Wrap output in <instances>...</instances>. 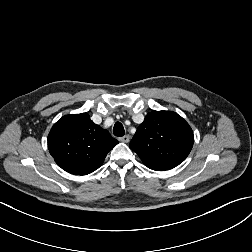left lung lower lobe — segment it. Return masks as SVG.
<instances>
[{
  "label": "left lung lower lobe",
  "mask_w": 252,
  "mask_h": 252,
  "mask_svg": "<svg viewBox=\"0 0 252 252\" xmlns=\"http://www.w3.org/2000/svg\"><path fill=\"white\" fill-rule=\"evenodd\" d=\"M177 165H179V164L172 163V162H163V163L154 164L153 166L150 167V169L156 170V171H163V170L172 169V168L176 167Z\"/></svg>",
  "instance_id": "0a47b994"
}]
</instances>
